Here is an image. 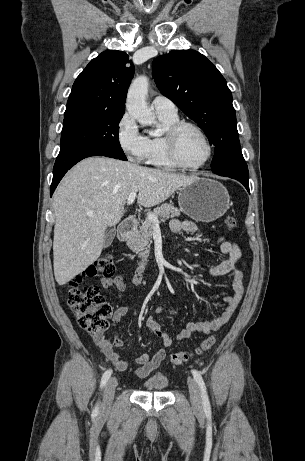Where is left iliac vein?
<instances>
[{
  "instance_id": "left-iliac-vein-1",
  "label": "left iliac vein",
  "mask_w": 305,
  "mask_h": 461,
  "mask_svg": "<svg viewBox=\"0 0 305 461\" xmlns=\"http://www.w3.org/2000/svg\"><path fill=\"white\" fill-rule=\"evenodd\" d=\"M188 388L190 393L191 404L194 409L200 411L202 409V399L197 382L193 378L188 379Z\"/></svg>"
}]
</instances>
